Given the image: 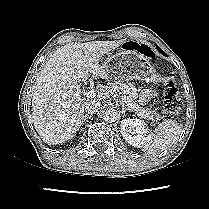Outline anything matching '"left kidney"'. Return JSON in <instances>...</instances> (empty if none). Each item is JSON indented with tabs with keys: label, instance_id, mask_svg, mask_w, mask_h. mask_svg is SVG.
<instances>
[{
	"label": "left kidney",
	"instance_id": "obj_1",
	"mask_svg": "<svg viewBox=\"0 0 209 209\" xmlns=\"http://www.w3.org/2000/svg\"><path fill=\"white\" fill-rule=\"evenodd\" d=\"M123 138L133 147H144L150 139L148 128L144 121L139 119H123L120 124Z\"/></svg>",
	"mask_w": 209,
	"mask_h": 209
}]
</instances>
